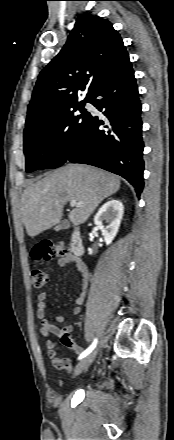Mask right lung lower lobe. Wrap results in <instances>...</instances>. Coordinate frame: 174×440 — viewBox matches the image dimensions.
<instances>
[{
  "mask_svg": "<svg viewBox=\"0 0 174 440\" xmlns=\"http://www.w3.org/2000/svg\"><path fill=\"white\" fill-rule=\"evenodd\" d=\"M88 102L103 117L89 113L86 127L66 161L118 174L140 195L144 185L141 103L130 61L106 77Z\"/></svg>",
  "mask_w": 174,
  "mask_h": 440,
  "instance_id": "98d812e1",
  "label": "right lung lower lobe"
}]
</instances>
